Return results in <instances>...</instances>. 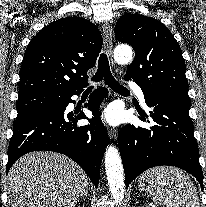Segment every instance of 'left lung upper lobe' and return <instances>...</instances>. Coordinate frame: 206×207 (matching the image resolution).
Listing matches in <instances>:
<instances>
[{
    "instance_id": "obj_1",
    "label": "left lung upper lobe",
    "mask_w": 206,
    "mask_h": 207,
    "mask_svg": "<svg viewBox=\"0 0 206 207\" xmlns=\"http://www.w3.org/2000/svg\"><path fill=\"white\" fill-rule=\"evenodd\" d=\"M115 35L135 51L125 79H133L144 94L190 102L182 52L164 24L151 17L127 13L118 19Z\"/></svg>"
}]
</instances>
